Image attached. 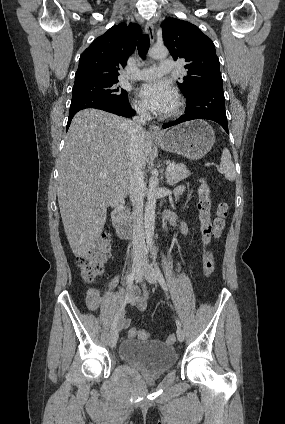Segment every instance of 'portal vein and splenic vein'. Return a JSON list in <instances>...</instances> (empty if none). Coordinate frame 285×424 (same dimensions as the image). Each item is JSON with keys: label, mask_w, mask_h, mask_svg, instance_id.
<instances>
[{"label": "portal vein and splenic vein", "mask_w": 285, "mask_h": 424, "mask_svg": "<svg viewBox=\"0 0 285 424\" xmlns=\"http://www.w3.org/2000/svg\"><path fill=\"white\" fill-rule=\"evenodd\" d=\"M173 167H174V163H171V164H169V165L167 166V169H166L167 174L171 171V169H172ZM100 176H101V177H105V176H106V174L101 173V174H100Z\"/></svg>", "instance_id": "portal-vein-and-splenic-vein-1"}]
</instances>
